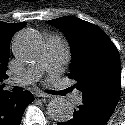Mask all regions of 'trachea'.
I'll return each instance as SVG.
<instances>
[{
    "label": "trachea",
    "instance_id": "obj_1",
    "mask_svg": "<svg viewBox=\"0 0 125 125\" xmlns=\"http://www.w3.org/2000/svg\"><path fill=\"white\" fill-rule=\"evenodd\" d=\"M13 91L15 93H20L22 91V88H20V87H14ZM69 91H70V89H65V90H62V91H51L50 90V91H46V92L49 93V94H53V95H64V94H66Z\"/></svg>",
    "mask_w": 125,
    "mask_h": 125
}]
</instances>
